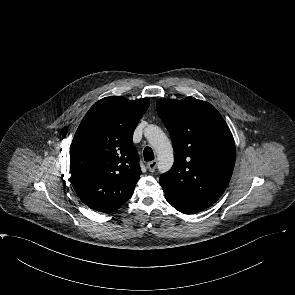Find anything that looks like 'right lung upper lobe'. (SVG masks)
Instances as JSON below:
<instances>
[{
	"instance_id": "right-lung-upper-lobe-1",
	"label": "right lung upper lobe",
	"mask_w": 295,
	"mask_h": 295,
	"mask_svg": "<svg viewBox=\"0 0 295 295\" xmlns=\"http://www.w3.org/2000/svg\"><path fill=\"white\" fill-rule=\"evenodd\" d=\"M149 104L106 97L81 121L70 147L71 182L91 209L111 213L132 196L141 174L133 132Z\"/></svg>"
}]
</instances>
